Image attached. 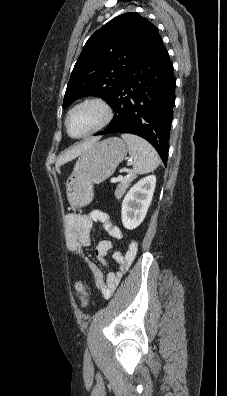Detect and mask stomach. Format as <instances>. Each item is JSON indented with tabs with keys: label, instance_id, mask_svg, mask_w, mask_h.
Instances as JSON below:
<instances>
[{
	"label": "stomach",
	"instance_id": "0dacf381",
	"mask_svg": "<svg viewBox=\"0 0 227 396\" xmlns=\"http://www.w3.org/2000/svg\"><path fill=\"white\" fill-rule=\"evenodd\" d=\"M127 151L124 141L108 138L94 143L83 152L66 180V194L70 204L75 207L88 205L94 197V184H100L112 176Z\"/></svg>",
	"mask_w": 227,
	"mask_h": 396
}]
</instances>
